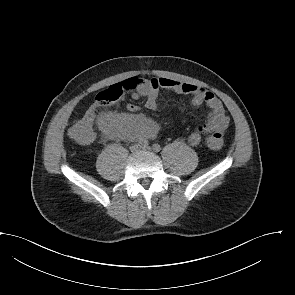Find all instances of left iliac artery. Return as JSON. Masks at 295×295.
Instances as JSON below:
<instances>
[{
    "instance_id": "obj_1",
    "label": "left iliac artery",
    "mask_w": 295,
    "mask_h": 295,
    "mask_svg": "<svg viewBox=\"0 0 295 295\" xmlns=\"http://www.w3.org/2000/svg\"><path fill=\"white\" fill-rule=\"evenodd\" d=\"M152 148L155 152H159L161 150V146L158 143L153 144Z\"/></svg>"
}]
</instances>
